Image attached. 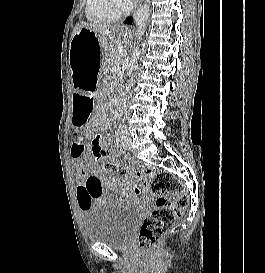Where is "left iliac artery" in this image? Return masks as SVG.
I'll return each mask as SVG.
<instances>
[{
	"label": "left iliac artery",
	"mask_w": 265,
	"mask_h": 273,
	"mask_svg": "<svg viewBox=\"0 0 265 273\" xmlns=\"http://www.w3.org/2000/svg\"><path fill=\"white\" fill-rule=\"evenodd\" d=\"M119 130H120V132H121L122 134H126V133H127V129H126V127H125L124 125H120V126H119Z\"/></svg>",
	"instance_id": "obj_1"
}]
</instances>
